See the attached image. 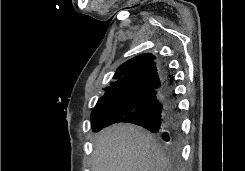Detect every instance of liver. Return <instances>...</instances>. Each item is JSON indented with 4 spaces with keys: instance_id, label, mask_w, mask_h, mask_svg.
Masks as SVG:
<instances>
[{
    "instance_id": "6515ba94",
    "label": "liver",
    "mask_w": 245,
    "mask_h": 171,
    "mask_svg": "<svg viewBox=\"0 0 245 171\" xmlns=\"http://www.w3.org/2000/svg\"><path fill=\"white\" fill-rule=\"evenodd\" d=\"M92 171H173L154 137L141 127L116 124L98 134Z\"/></svg>"
}]
</instances>
